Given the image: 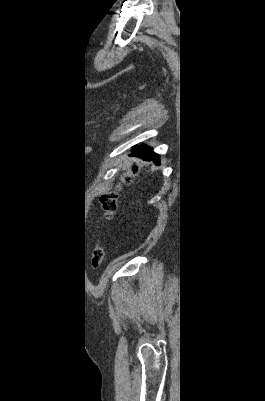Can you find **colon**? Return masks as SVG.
Wrapping results in <instances>:
<instances>
[{
    "label": "colon",
    "instance_id": "colon-1",
    "mask_svg": "<svg viewBox=\"0 0 265 401\" xmlns=\"http://www.w3.org/2000/svg\"><path fill=\"white\" fill-rule=\"evenodd\" d=\"M136 171H137L136 165H130L128 171L121 177L119 183L116 186V189L109 191L101 196L100 198L101 206L104 214L107 217H112L115 214L118 205V191L121 189L123 185L128 184L131 181ZM103 258H104L103 248L101 247L96 248L92 255V266L94 269L100 267Z\"/></svg>",
    "mask_w": 265,
    "mask_h": 401
}]
</instances>
